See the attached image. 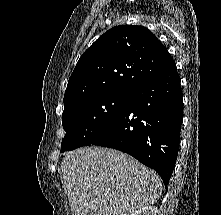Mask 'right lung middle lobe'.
<instances>
[{
    "instance_id": "1",
    "label": "right lung middle lobe",
    "mask_w": 221,
    "mask_h": 215,
    "mask_svg": "<svg viewBox=\"0 0 221 215\" xmlns=\"http://www.w3.org/2000/svg\"><path fill=\"white\" fill-rule=\"evenodd\" d=\"M129 95L105 94L78 101L64 108L62 125L66 134L61 152L86 146L102 136L123 112Z\"/></svg>"
}]
</instances>
